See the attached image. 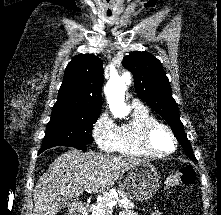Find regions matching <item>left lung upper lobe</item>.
Returning <instances> with one entry per match:
<instances>
[{"mask_svg": "<svg viewBox=\"0 0 221 215\" xmlns=\"http://www.w3.org/2000/svg\"><path fill=\"white\" fill-rule=\"evenodd\" d=\"M123 66L133 74L139 98L166 120L187 156L197 161L184 132L177 103L172 97L171 86L161 62L148 52L134 51L125 56Z\"/></svg>", "mask_w": 221, "mask_h": 215, "instance_id": "5c2ea615", "label": "left lung upper lobe"}]
</instances>
